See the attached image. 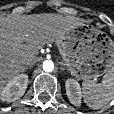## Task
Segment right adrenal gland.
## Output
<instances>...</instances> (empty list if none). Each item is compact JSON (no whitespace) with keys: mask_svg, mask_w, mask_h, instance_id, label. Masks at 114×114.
Masks as SVG:
<instances>
[{"mask_svg":"<svg viewBox=\"0 0 114 114\" xmlns=\"http://www.w3.org/2000/svg\"><path fill=\"white\" fill-rule=\"evenodd\" d=\"M33 66H26V67H24V70L23 71H26V70H28L29 68H32Z\"/></svg>","mask_w":114,"mask_h":114,"instance_id":"2a0ac1e0","label":"right adrenal gland"}]
</instances>
